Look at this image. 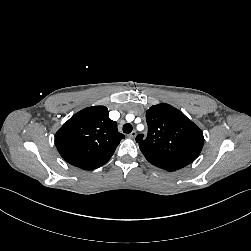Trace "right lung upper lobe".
Segmentation results:
<instances>
[{
  "label": "right lung upper lobe",
  "instance_id": "cb5924a9",
  "mask_svg": "<svg viewBox=\"0 0 251 251\" xmlns=\"http://www.w3.org/2000/svg\"><path fill=\"white\" fill-rule=\"evenodd\" d=\"M124 138L105 106L85 108L73 115L56 133L55 145L63 159L78 168L93 170L104 165Z\"/></svg>",
  "mask_w": 251,
  "mask_h": 251
}]
</instances>
